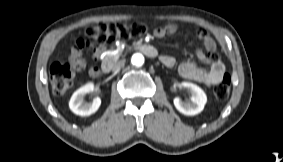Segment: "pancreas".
<instances>
[{
  "instance_id": "pancreas-1",
  "label": "pancreas",
  "mask_w": 283,
  "mask_h": 162,
  "mask_svg": "<svg viewBox=\"0 0 283 162\" xmlns=\"http://www.w3.org/2000/svg\"><path fill=\"white\" fill-rule=\"evenodd\" d=\"M121 53H122V51H121V50H119V52H118V56H119V55H121Z\"/></svg>"
}]
</instances>
